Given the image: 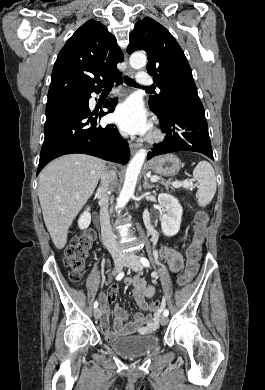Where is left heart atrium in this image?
Listing matches in <instances>:
<instances>
[{
  "label": "left heart atrium",
  "instance_id": "obj_1",
  "mask_svg": "<svg viewBox=\"0 0 265 390\" xmlns=\"http://www.w3.org/2000/svg\"><path fill=\"white\" fill-rule=\"evenodd\" d=\"M113 120L128 134H144L150 129V122L141 103L136 99H128L118 105Z\"/></svg>",
  "mask_w": 265,
  "mask_h": 390
}]
</instances>
